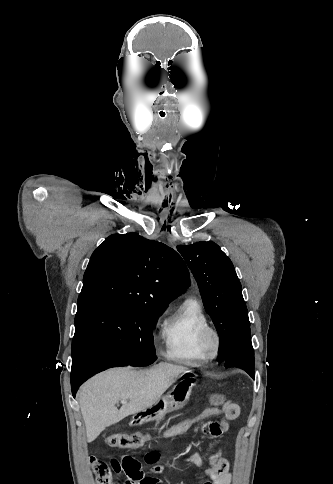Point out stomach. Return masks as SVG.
I'll list each match as a JSON object with an SVG mask.
<instances>
[{"instance_id":"1","label":"stomach","mask_w":333,"mask_h":484,"mask_svg":"<svg viewBox=\"0 0 333 484\" xmlns=\"http://www.w3.org/2000/svg\"><path fill=\"white\" fill-rule=\"evenodd\" d=\"M195 381L191 378L181 380L166 395L158 399L151 407L144 412L148 417L164 414L174 409H179L188 401Z\"/></svg>"}]
</instances>
